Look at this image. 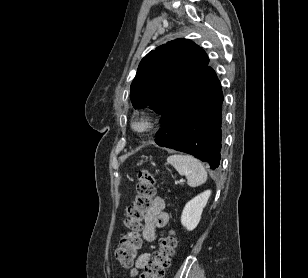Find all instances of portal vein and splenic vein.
I'll return each instance as SVG.
<instances>
[{
	"label": "portal vein and splenic vein",
	"instance_id": "portal-vein-and-splenic-vein-1",
	"mask_svg": "<svg viewBox=\"0 0 308 278\" xmlns=\"http://www.w3.org/2000/svg\"><path fill=\"white\" fill-rule=\"evenodd\" d=\"M179 182H183V179H181ZM176 183H178V182H176Z\"/></svg>",
	"mask_w": 308,
	"mask_h": 278
}]
</instances>
